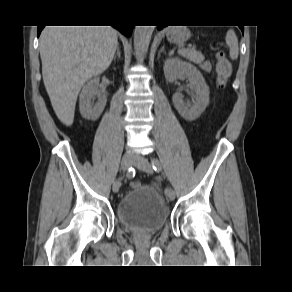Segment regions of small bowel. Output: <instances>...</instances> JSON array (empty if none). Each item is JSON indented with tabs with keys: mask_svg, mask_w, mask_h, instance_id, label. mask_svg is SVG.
I'll use <instances>...</instances> for the list:
<instances>
[{
	"mask_svg": "<svg viewBox=\"0 0 292 292\" xmlns=\"http://www.w3.org/2000/svg\"><path fill=\"white\" fill-rule=\"evenodd\" d=\"M202 69L204 70V71H210V69H211V65H210V63L209 62H204L203 64H202Z\"/></svg>",
	"mask_w": 292,
	"mask_h": 292,
	"instance_id": "obj_1",
	"label": "small bowel"
}]
</instances>
